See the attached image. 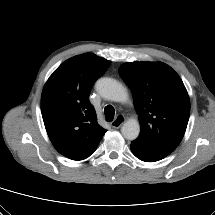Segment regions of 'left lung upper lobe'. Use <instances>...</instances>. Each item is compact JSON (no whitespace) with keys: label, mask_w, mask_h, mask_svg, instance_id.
Here are the masks:
<instances>
[{"label":"left lung upper lobe","mask_w":215,"mask_h":215,"mask_svg":"<svg viewBox=\"0 0 215 215\" xmlns=\"http://www.w3.org/2000/svg\"><path fill=\"white\" fill-rule=\"evenodd\" d=\"M119 75L132 91L140 134L133 143L168 156L181 142L190 114L187 90L178 74L162 62H131Z\"/></svg>","instance_id":"1"}]
</instances>
